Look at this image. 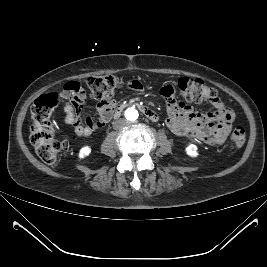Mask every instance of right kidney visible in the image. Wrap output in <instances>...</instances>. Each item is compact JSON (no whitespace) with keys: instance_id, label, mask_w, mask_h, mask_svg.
<instances>
[{"instance_id":"1","label":"right kidney","mask_w":267,"mask_h":267,"mask_svg":"<svg viewBox=\"0 0 267 267\" xmlns=\"http://www.w3.org/2000/svg\"><path fill=\"white\" fill-rule=\"evenodd\" d=\"M91 153V148L89 146H84L79 152V158H85Z\"/></svg>"}]
</instances>
